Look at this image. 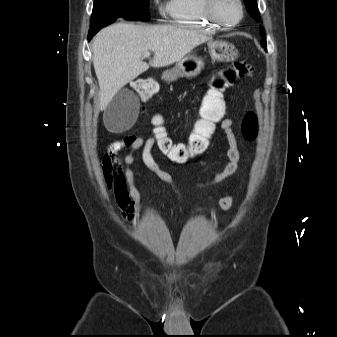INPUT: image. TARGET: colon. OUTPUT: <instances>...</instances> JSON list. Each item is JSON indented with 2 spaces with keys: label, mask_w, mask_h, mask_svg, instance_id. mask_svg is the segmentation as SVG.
I'll list each match as a JSON object with an SVG mask.
<instances>
[{
  "label": "colon",
  "mask_w": 337,
  "mask_h": 337,
  "mask_svg": "<svg viewBox=\"0 0 337 337\" xmlns=\"http://www.w3.org/2000/svg\"><path fill=\"white\" fill-rule=\"evenodd\" d=\"M253 73V66L245 61H235L231 65L216 70L212 74L204 100H199L201 109L200 126L190 135L186 142H176L170 137L165 126H151L150 132L158 139L159 151L168 161L185 163L203 154L208 148L210 137L214 132V125L224 116V92L241 78L249 77ZM135 90L144 98L145 103H152L157 89L156 81L152 78H140L133 82ZM144 113H151V106L143 107ZM157 122L160 120L157 119ZM243 137L247 141H254L259 133L258 118L255 112H247L241 123Z\"/></svg>",
  "instance_id": "colon-1"
}]
</instances>
